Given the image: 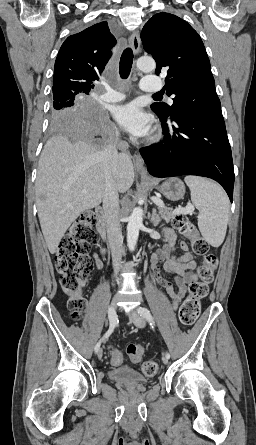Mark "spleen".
<instances>
[{
  "instance_id": "1",
  "label": "spleen",
  "mask_w": 256,
  "mask_h": 445,
  "mask_svg": "<svg viewBox=\"0 0 256 445\" xmlns=\"http://www.w3.org/2000/svg\"><path fill=\"white\" fill-rule=\"evenodd\" d=\"M184 181L193 205L199 210L198 227L202 236L213 247L220 246L226 235L230 210L226 193L206 178L186 176Z\"/></svg>"
}]
</instances>
